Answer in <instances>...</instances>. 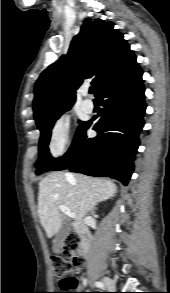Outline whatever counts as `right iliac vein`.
I'll use <instances>...</instances> for the list:
<instances>
[{
    "label": "right iliac vein",
    "instance_id": "obj_1",
    "mask_svg": "<svg viewBox=\"0 0 170 293\" xmlns=\"http://www.w3.org/2000/svg\"><path fill=\"white\" fill-rule=\"evenodd\" d=\"M103 281L107 287L108 290H114L115 289V283L108 277H104Z\"/></svg>",
    "mask_w": 170,
    "mask_h": 293
}]
</instances>
